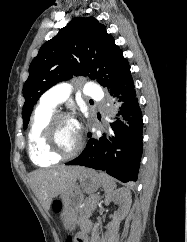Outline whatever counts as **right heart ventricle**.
Returning <instances> with one entry per match:
<instances>
[{
  "label": "right heart ventricle",
  "instance_id": "1",
  "mask_svg": "<svg viewBox=\"0 0 187 242\" xmlns=\"http://www.w3.org/2000/svg\"><path fill=\"white\" fill-rule=\"evenodd\" d=\"M54 111V108L41 103L35 110L28 133L29 156L36 165L41 167L56 164L60 160L46 152L42 140L44 128Z\"/></svg>",
  "mask_w": 187,
  "mask_h": 242
}]
</instances>
